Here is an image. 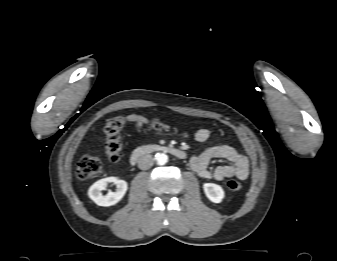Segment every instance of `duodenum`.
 Masks as SVG:
<instances>
[{"label":"duodenum","mask_w":337,"mask_h":261,"mask_svg":"<svg viewBox=\"0 0 337 261\" xmlns=\"http://www.w3.org/2000/svg\"><path fill=\"white\" fill-rule=\"evenodd\" d=\"M151 153H167L175 156L178 159H186L187 155L185 151L171 145H161V144H147L138 147L133 151L130 156V164H137L143 157Z\"/></svg>","instance_id":"obj_1"}]
</instances>
